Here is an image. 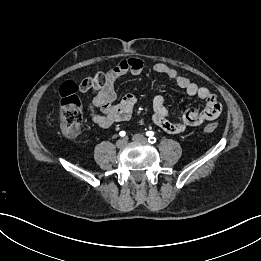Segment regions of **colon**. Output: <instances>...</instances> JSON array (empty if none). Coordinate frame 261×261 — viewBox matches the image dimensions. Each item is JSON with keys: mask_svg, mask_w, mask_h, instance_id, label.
<instances>
[{"mask_svg": "<svg viewBox=\"0 0 261 261\" xmlns=\"http://www.w3.org/2000/svg\"><path fill=\"white\" fill-rule=\"evenodd\" d=\"M106 84L105 73H97L94 76L85 79L82 86L90 91H96L103 88ZM78 86L67 81L60 88V105L58 109L59 125L62 133L70 138L76 139L81 132L82 111L81 101L77 94ZM218 128V123H209L204 127V131L212 133Z\"/></svg>", "mask_w": 261, "mask_h": 261, "instance_id": "5ec220e1", "label": "colon"}]
</instances>
